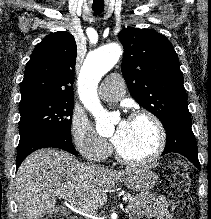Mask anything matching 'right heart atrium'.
<instances>
[{"label": "right heart atrium", "mask_w": 211, "mask_h": 219, "mask_svg": "<svg viewBox=\"0 0 211 219\" xmlns=\"http://www.w3.org/2000/svg\"><path fill=\"white\" fill-rule=\"evenodd\" d=\"M70 133L73 145L86 159L100 162L109 155L108 143L98 136L85 117L73 115Z\"/></svg>", "instance_id": "1"}]
</instances>
